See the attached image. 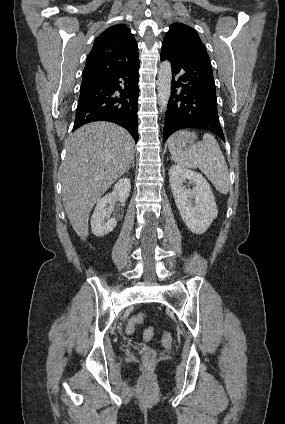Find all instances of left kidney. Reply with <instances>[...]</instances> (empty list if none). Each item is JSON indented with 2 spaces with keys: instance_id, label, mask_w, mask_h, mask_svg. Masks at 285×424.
I'll list each match as a JSON object with an SVG mask.
<instances>
[{
  "instance_id": "1",
  "label": "left kidney",
  "mask_w": 285,
  "mask_h": 424,
  "mask_svg": "<svg viewBox=\"0 0 285 424\" xmlns=\"http://www.w3.org/2000/svg\"><path fill=\"white\" fill-rule=\"evenodd\" d=\"M187 180L194 185L192 190L183 185ZM169 181L176 206L185 225L195 234L204 233L218 215L209 183L200 173L179 165L171 166ZM189 198H194V201Z\"/></svg>"
}]
</instances>
